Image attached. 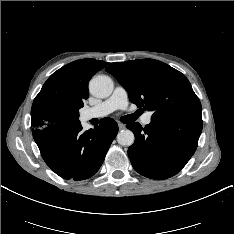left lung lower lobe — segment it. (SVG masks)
<instances>
[{
    "instance_id": "left-lung-lower-lobe-1",
    "label": "left lung lower lobe",
    "mask_w": 234,
    "mask_h": 234,
    "mask_svg": "<svg viewBox=\"0 0 234 234\" xmlns=\"http://www.w3.org/2000/svg\"><path fill=\"white\" fill-rule=\"evenodd\" d=\"M135 135L128 148L133 168L151 179L177 174L194 154L202 131V117H180L152 121L145 128L127 124Z\"/></svg>"
}]
</instances>
